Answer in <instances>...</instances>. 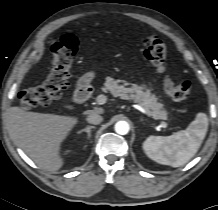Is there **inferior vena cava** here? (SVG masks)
<instances>
[{
	"label": "inferior vena cava",
	"instance_id": "obj_1",
	"mask_svg": "<svg viewBox=\"0 0 218 210\" xmlns=\"http://www.w3.org/2000/svg\"><path fill=\"white\" fill-rule=\"evenodd\" d=\"M103 121V117L95 112V111H91L88 116H87V122L90 124H100Z\"/></svg>",
	"mask_w": 218,
	"mask_h": 210
}]
</instances>
